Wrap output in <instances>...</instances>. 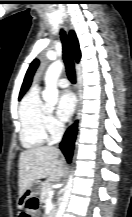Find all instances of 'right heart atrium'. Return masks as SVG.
<instances>
[{
  "label": "right heart atrium",
  "mask_w": 132,
  "mask_h": 217,
  "mask_svg": "<svg viewBox=\"0 0 132 217\" xmlns=\"http://www.w3.org/2000/svg\"><path fill=\"white\" fill-rule=\"evenodd\" d=\"M46 130L52 137H55L61 133L62 124L52 115H48L46 119Z\"/></svg>",
  "instance_id": "obj_1"
}]
</instances>
